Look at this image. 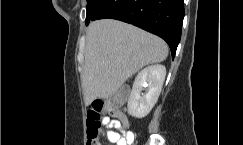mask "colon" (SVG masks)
<instances>
[{"label":"colon","instance_id":"5ec220e1","mask_svg":"<svg viewBox=\"0 0 243 145\" xmlns=\"http://www.w3.org/2000/svg\"><path fill=\"white\" fill-rule=\"evenodd\" d=\"M125 92L116 94L109 100H95L87 111V145H96V136L101 126V118L105 114L118 116V106L124 101Z\"/></svg>","mask_w":243,"mask_h":145}]
</instances>
